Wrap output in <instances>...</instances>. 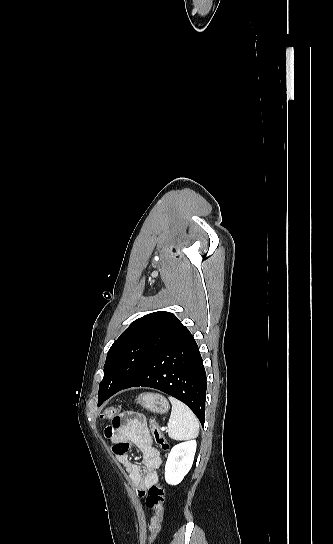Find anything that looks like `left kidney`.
Instances as JSON below:
<instances>
[{
	"label": "left kidney",
	"instance_id": "left-kidney-1",
	"mask_svg": "<svg viewBox=\"0 0 333 544\" xmlns=\"http://www.w3.org/2000/svg\"><path fill=\"white\" fill-rule=\"evenodd\" d=\"M196 440L178 443L168 454L165 465V480L170 485L179 484L192 467Z\"/></svg>",
	"mask_w": 333,
	"mask_h": 544
}]
</instances>
